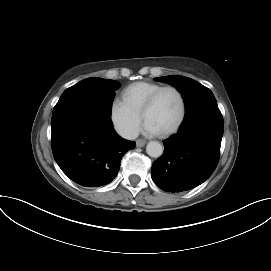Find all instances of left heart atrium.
Instances as JSON below:
<instances>
[{
  "label": "left heart atrium",
  "instance_id": "39dd6f15",
  "mask_svg": "<svg viewBox=\"0 0 271 271\" xmlns=\"http://www.w3.org/2000/svg\"><path fill=\"white\" fill-rule=\"evenodd\" d=\"M143 132L147 135H158L161 132L150 122L146 121L143 127Z\"/></svg>",
  "mask_w": 271,
  "mask_h": 271
}]
</instances>
